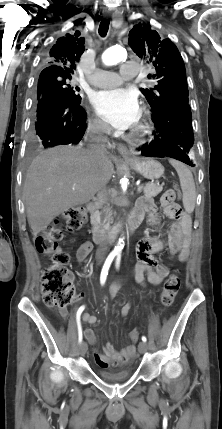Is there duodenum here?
<instances>
[{
  "instance_id": "duodenum-1",
  "label": "duodenum",
  "mask_w": 222,
  "mask_h": 429,
  "mask_svg": "<svg viewBox=\"0 0 222 429\" xmlns=\"http://www.w3.org/2000/svg\"><path fill=\"white\" fill-rule=\"evenodd\" d=\"M87 210L91 215L92 236H93L94 242L101 245L105 244L109 240L111 235L106 233L100 226L96 204L89 203L87 205ZM142 218H143V213L141 211L135 212L133 210L127 219L128 231L132 232L133 230H135L139 226Z\"/></svg>"
}]
</instances>
